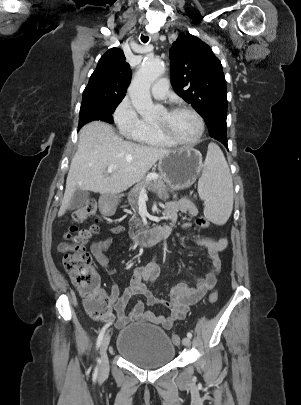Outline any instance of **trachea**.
<instances>
[{
  "label": "trachea",
  "instance_id": "1",
  "mask_svg": "<svg viewBox=\"0 0 301 405\" xmlns=\"http://www.w3.org/2000/svg\"><path fill=\"white\" fill-rule=\"evenodd\" d=\"M148 40H149V37H148V36L141 35V41H142L143 43L148 42Z\"/></svg>",
  "mask_w": 301,
  "mask_h": 405
}]
</instances>
